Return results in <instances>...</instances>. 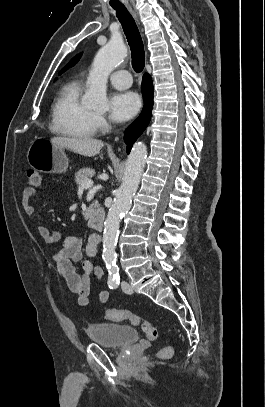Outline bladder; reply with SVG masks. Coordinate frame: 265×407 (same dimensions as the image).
Segmentation results:
<instances>
[{
	"mask_svg": "<svg viewBox=\"0 0 265 407\" xmlns=\"http://www.w3.org/2000/svg\"><path fill=\"white\" fill-rule=\"evenodd\" d=\"M86 333L92 342L109 348H122L138 340L135 328L123 324H89Z\"/></svg>",
	"mask_w": 265,
	"mask_h": 407,
	"instance_id": "bladder-1",
	"label": "bladder"
}]
</instances>
